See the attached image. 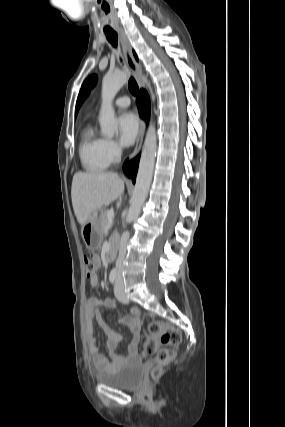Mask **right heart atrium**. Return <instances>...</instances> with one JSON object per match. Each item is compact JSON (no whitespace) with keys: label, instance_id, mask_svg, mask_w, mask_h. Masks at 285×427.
Listing matches in <instances>:
<instances>
[{"label":"right heart atrium","instance_id":"obj_1","mask_svg":"<svg viewBox=\"0 0 285 427\" xmlns=\"http://www.w3.org/2000/svg\"><path fill=\"white\" fill-rule=\"evenodd\" d=\"M106 153L111 162H115L121 155V148L116 141L108 139L106 140Z\"/></svg>","mask_w":285,"mask_h":427}]
</instances>
